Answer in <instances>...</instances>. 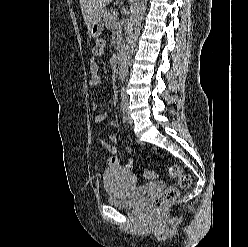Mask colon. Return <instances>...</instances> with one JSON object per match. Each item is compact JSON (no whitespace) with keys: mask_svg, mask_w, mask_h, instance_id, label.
Listing matches in <instances>:
<instances>
[{"mask_svg":"<svg viewBox=\"0 0 248 247\" xmlns=\"http://www.w3.org/2000/svg\"><path fill=\"white\" fill-rule=\"evenodd\" d=\"M166 172L169 178L176 181L177 186L168 187L153 200L152 207L157 210L176 199L179 191L178 187L188 188L191 184V177L178 164L169 165ZM144 176L152 179L155 177V173L153 171H145Z\"/></svg>","mask_w":248,"mask_h":247,"instance_id":"colon-1","label":"colon"}]
</instances>
